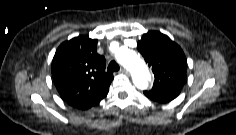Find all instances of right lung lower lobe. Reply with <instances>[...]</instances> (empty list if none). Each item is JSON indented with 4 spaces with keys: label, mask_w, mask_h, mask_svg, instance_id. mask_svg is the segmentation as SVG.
I'll use <instances>...</instances> for the list:
<instances>
[{
    "label": "right lung lower lobe",
    "mask_w": 236,
    "mask_h": 135,
    "mask_svg": "<svg viewBox=\"0 0 236 135\" xmlns=\"http://www.w3.org/2000/svg\"><path fill=\"white\" fill-rule=\"evenodd\" d=\"M107 93H108V92H107ZM107 93H106L105 95H103L101 98H99V99H97V100H95V101H93V102H91V103H89V104L82 105V106H78V107H76V108L82 109V110L89 109V108H91L92 106H94L95 104L99 103V102L107 95Z\"/></svg>",
    "instance_id": "1"
}]
</instances>
